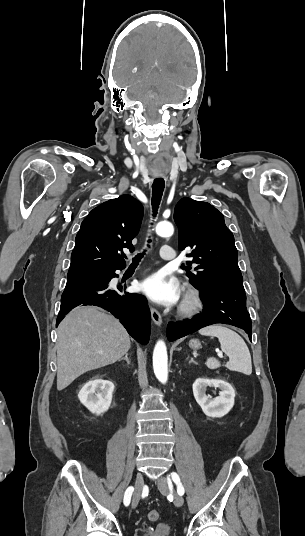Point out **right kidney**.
Returning <instances> with one entry per match:
<instances>
[{
  "label": "right kidney",
  "mask_w": 305,
  "mask_h": 536,
  "mask_svg": "<svg viewBox=\"0 0 305 536\" xmlns=\"http://www.w3.org/2000/svg\"><path fill=\"white\" fill-rule=\"evenodd\" d=\"M114 388V384L109 380H102L101 376H95L81 388L78 398L92 414L99 416L109 410Z\"/></svg>",
  "instance_id": "1"
}]
</instances>
